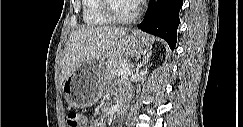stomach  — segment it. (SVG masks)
I'll return each instance as SVG.
<instances>
[{"label": "stomach", "instance_id": "1", "mask_svg": "<svg viewBox=\"0 0 243 127\" xmlns=\"http://www.w3.org/2000/svg\"><path fill=\"white\" fill-rule=\"evenodd\" d=\"M150 46L149 39L138 31L120 37L113 48L84 62L65 79L62 92L66 102L75 108L92 106L103 92L112 64L120 58L148 55Z\"/></svg>", "mask_w": 243, "mask_h": 127}]
</instances>
